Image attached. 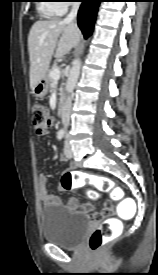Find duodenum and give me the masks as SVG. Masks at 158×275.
<instances>
[{
  "mask_svg": "<svg viewBox=\"0 0 158 275\" xmlns=\"http://www.w3.org/2000/svg\"><path fill=\"white\" fill-rule=\"evenodd\" d=\"M63 103H64V96L60 95V97L57 101V105H56V113L58 115H61V113H62Z\"/></svg>",
  "mask_w": 158,
  "mask_h": 275,
  "instance_id": "1",
  "label": "duodenum"
}]
</instances>
